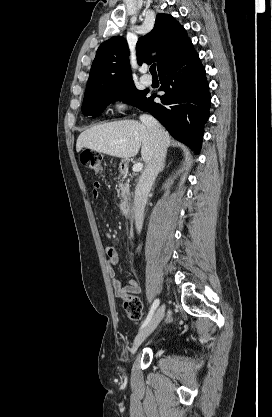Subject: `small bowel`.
<instances>
[{
  "label": "small bowel",
  "instance_id": "1",
  "mask_svg": "<svg viewBox=\"0 0 272 417\" xmlns=\"http://www.w3.org/2000/svg\"><path fill=\"white\" fill-rule=\"evenodd\" d=\"M100 190V183L95 182L92 188L93 199H98ZM106 254L108 256L109 275L112 278V287L115 297L123 299L125 295H137L140 293L141 288L139 283L135 279H128L126 285H122L121 281L117 278L115 272V266L118 265L120 258L117 249L114 246L106 247Z\"/></svg>",
  "mask_w": 272,
  "mask_h": 417
}]
</instances>
